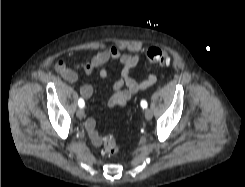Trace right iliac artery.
<instances>
[{
	"label": "right iliac artery",
	"mask_w": 245,
	"mask_h": 187,
	"mask_svg": "<svg viewBox=\"0 0 245 187\" xmlns=\"http://www.w3.org/2000/svg\"><path fill=\"white\" fill-rule=\"evenodd\" d=\"M78 105H79L80 108H83L84 107L85 103H84V100L82 98H80L78 100Z\"/></svg>",
	"instance_id": "obj_1"
}]
</instances>
